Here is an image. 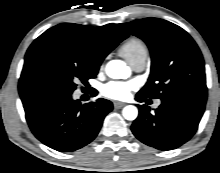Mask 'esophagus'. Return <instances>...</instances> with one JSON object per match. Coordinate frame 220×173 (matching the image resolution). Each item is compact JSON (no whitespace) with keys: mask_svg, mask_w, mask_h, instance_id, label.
<instances>
[{"mask_svg":"<svg viewBox=\"0 0 220 173\" xmlns=\"http://www.w3.org/2000/svg\"><path fill=\"white\" fill-rule=\"evenodd\" d=\"M113 105H114V108H115V109H120V108H122V107L125 105V103L115 101V102L113 103Z\"/></svg>","mask_w":220,"mask_h":173,"instance_id":"34e87169","label":"esophagus"}]
</instances>
